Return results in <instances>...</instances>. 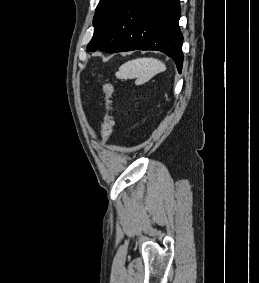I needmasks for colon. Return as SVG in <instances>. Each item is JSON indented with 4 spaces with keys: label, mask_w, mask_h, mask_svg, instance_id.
I'll list each match as a JSON object with an SVG mask.
<instances>
[{
    "label": "colon",
    "mask_w": 259,
    "mask_h": 283,
    "mask_svg": "<svg viewBox=\"0 0 259 283\" xmlns=\"http://www.w3.org/2000/svg\"><path fill=\"white\" fill-rule=\"evenodd\" d=\"M102 90L105 95L106 115L101 130V136L104 141H107L110 138L116 126V120L114 116V106H113V97L115 93V88L111 83L106 82L102 85Z\"/></svg>",
    "instance_id": "obj_1"
}]
</instances>
